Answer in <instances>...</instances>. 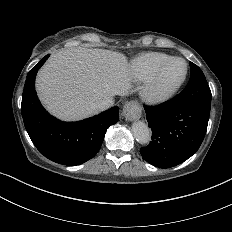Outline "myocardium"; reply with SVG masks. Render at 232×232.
Segmentation results:
<instances>
[{
	"instance_id": "f54148a6",
	"label": "myocardium",
	"mask_w": 232,
	"mask_h": 232,
	"mask_svg": "<svg viewBox=\"0 0 232 232\" xmlns=\"http://www.w3.org/2000/svg\"><path fill=\"white\" fill-rule=\"evenodd\" d=\"M182 61L186 65L185 73L180 80L166 88L158 89L157 83L163 73L175 62ZM189 73L188 62L179 57H172L165 64L156 69L140 86L139 98L142 103L151 107H158L167 103L180 89L187 79Z\"/></svg>"
}]
</instances>
